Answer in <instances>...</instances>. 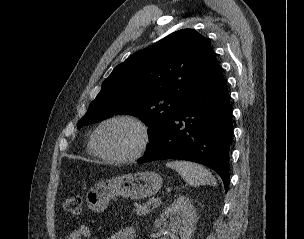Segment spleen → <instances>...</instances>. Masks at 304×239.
Here are the masks:
<instances>
[{"label": "spleen", "instance_id": "obj_1", "mask_svg": "<svg viewBox=\"0 0 304 239\" xmlns=\"http://www.w3.org/2000/svg\"><path fill=\"white\" fill-rule=\"evenodd\" d=\"M166 166L176 170L191 186L216 185V180L211 172L200 164L177 160L167 162Z\"/></svg>", "mask_w": 304, "mask_h": 239}]
</instances>
